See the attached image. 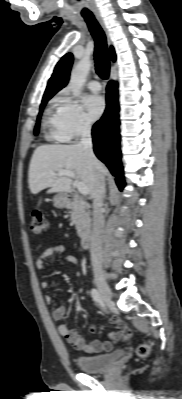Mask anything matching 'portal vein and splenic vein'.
Masks as SVG:
<instances>
[{
	"instance_id": "1",
	"label": "portal vein and splenic vein",
	"mask_w": 182,
	"mask_h": 399,
	"mask_svg": "<svg viewBox=\"0 0 182 399\" xmlns=\"http://www.w3.org/2000/svg\"><path fill=\"white\" fill-rule=\"evenodd\" d=\"M55 176H67V177L76 179V175L72 171H69V170H62V171L58 172L57 174H55ZM75 186L77 187L78 191L82 195H88V193H89L88 187L84 183L75 181Z\"/></svg>"
}]
</instances>
